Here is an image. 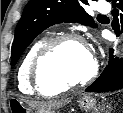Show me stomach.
Returning a JSON list of instances; mask_svg holds the SVG:
<instances>
[{
	"mask_svg": "<svg viewBox=\"0 0 123 113\" xmlns=\"http://www.w3.org/2000/svg\"><path fill=\"white\" fill-rule=\"evenodd\" d=\"M79 107L82 110L89 111L95 108L96 106V99L92 95H83L79 98ZM9 107L11 111L18 112V113H33L32 109L25 106L22 101L17 99H12L9 101ZM40 113V112H37ZM45 113H54L52 111L45 112Z\"/></svg>",
	"mask_w": 123,
	"mask_h": 113,
	"instance_id": "0dacf381",
	"label": "stomach"
}]
</instances>
